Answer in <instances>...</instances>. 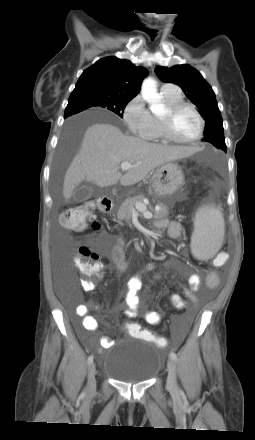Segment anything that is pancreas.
<instances>
[{"label":"pancreas","mask_w":255,"mask_h":440,"mask_svg":"<svg viewBox=\"0 0 255 440\" xmlns=\"http://www.w3.org/2000/svg\"><path fill=\"white\" fill-rule=\"evenodd\" d=\"M143 195H137L126 199L117 211V218L119 220H128L132 215V210L137 203H142ZM159 209L154 211V219H162L168 216V207L163 204H158Z\"/></svg>","instance_id":"pancreas-1"}]
</instances>
